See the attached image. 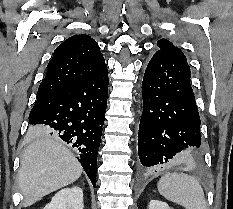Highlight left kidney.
<instances>
[{
    "label": "left kidney",
    "instance_id": "obj_1",
    "mask_svg": "<svg viewBox=\"0 0 233 209\" xmlns=\"http://www.w3.org/2000/svg\"><path fill=\"white\" fill-rule=\"evenodd\" d=\"M149 209H171L166 202L150 200Z\"/></svg>",
    "mask_w": 233,
    "mask_h": 209
}]
</instances>
